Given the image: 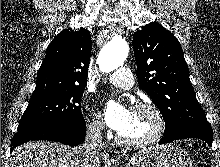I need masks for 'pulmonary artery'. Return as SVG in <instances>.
Masks as SVG:
<instances>
[{"instance_id": "pulmonary-artery-1", "label": "pulmonary artery", "mask_w": 220, "mask_h": 167, "mask_svg": "<svg viewBox=\"0 0 220 167\" xmlns=\"http://www.w3.org/2000/svg\"><path fill=\"white\" fill-rule=\"evenodd\" d=\"M107 81L122 89H130L134 85L132 74L127 67H121L109 74Z\"/></svg>"}]
</instances>
